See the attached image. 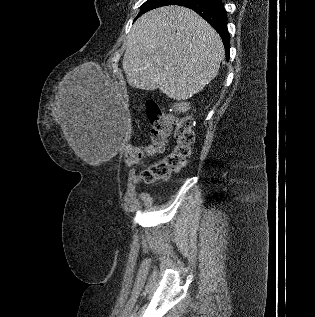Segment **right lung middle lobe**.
<instances>
[{
	"instance_id": "dd1d6c3e",
	"label": "right lung middle lobe",
	"mask_w": 315,
	"mask_h": 317,
	"mask_svg": "<svg viewBox=\"0 0 315 317\" xmlns=\"http://www.w3.org/2000/svg\"><path fill=\"white\" fill-rule=\"evenodd\" d=\"M179 0H147L141 7L139 16L151 9L158 8L165 5H172Z\"/></svg>"
}]
</instances>
